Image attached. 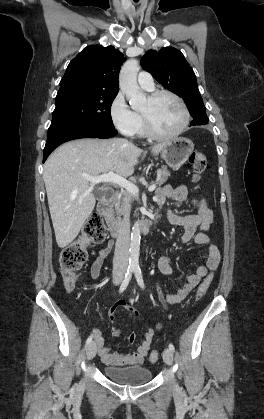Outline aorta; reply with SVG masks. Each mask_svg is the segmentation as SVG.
Returning <instances> with one entry per match:
<instances>
[{"mask_svg":"<svg viewBox=\"0 0 264 419\" xmlns=\"http://www.w3.org/2000/svg\"><path fill=\"white\" fill-rule=\"evenodd\" d=\"M139 71V63L135 59L126 61L119 74V86L121 91L126 95L132 109L137 110L146 103V96L139 89L137 84V74ZM140 227L135 222L130 242L129 266L132 268L139 267V250H140Z\"/></svg>","mask_w":264,"mask_h":419,"instance_id":"762f6f07","label":"aorta"}]
</instances>
